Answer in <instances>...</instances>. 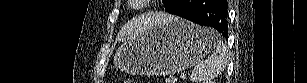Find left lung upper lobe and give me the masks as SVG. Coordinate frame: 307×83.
Masks as SVG:
<instances>
[{
    "label": "left lung upper lobe",
    "instance_id": "obj_1",
    "mask_svg": "<svg viewBox=\"0 0 307 83\" xmlns=\"http://www.w3.org/2000/svg\"><path fill=\"white\" fill-rule=\"evenodd\" d=\"M162 2L165 6V9L168 10L173 5L174 0H162Z\"/></svg>",
    "mask_w": 307,
    "mask_h": 83
}]
</instances>
